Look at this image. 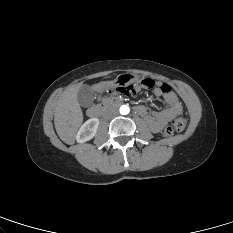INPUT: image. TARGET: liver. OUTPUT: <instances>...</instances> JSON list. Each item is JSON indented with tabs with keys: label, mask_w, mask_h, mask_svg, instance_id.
I'll use <instances>...</instances> for the list:
<instances>
[{
	"label": "liver",
	"mask_w": 233,
	"mask_h": 233,
	"mask_svg": "<svg viewBox=\"0 0 233 233\" xmlns=\"http://www.w3.org/2000/svg\"><path fill=\"white\" fill-rule=\"evenodd\" d=\"M80 87L81 84H77L65 90L55 109V129L59 138L66 144L73 143L77 130L83 122V113L77 100Z\"/></svg>",
	"instance_id": "1"
}]
</instances>
